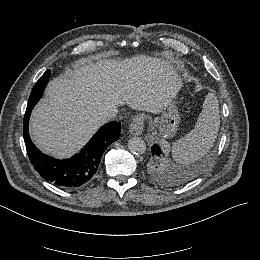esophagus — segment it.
Instances as JSON below:
<instances>
[{
    "mask_svg": "<svg viewBox=\"0 0 260 260\" xmlns=\"http://www.w3.org/2000/svg\"><path fill=\"white\" fill-rule=\"evenodd\" d=\"M145 118L143 115H135L132 119V122L129 124V132L132 135H140L144 129Z\"/></svg>",
    "mask_w": 260,
    "mask_h": 260,
    "instance_id": "obj_1",
    "label": "esophagus"
}]
</instances>
